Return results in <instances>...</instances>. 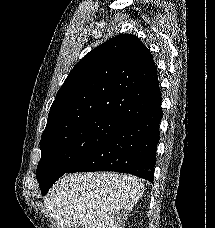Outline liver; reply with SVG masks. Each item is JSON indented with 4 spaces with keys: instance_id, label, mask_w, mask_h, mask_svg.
Returning <instances> with one entry per match:
<instances>
[{
    "instance_id": "1",
    "label": "liver",
    "mask_w": 215,
    "mask_h": 228,
    "mask_svg": "<svg viewBox=\"0 0 215 228\" xmlns=\"http://www.w3.org/2000/svg\"><path fill=\"white\" fill-rule=\"evenodd\" d=\"M144 190L130 174L77 172L52 186L44 206L59 228H124Z\"/></svg>"
}]
</instances>
